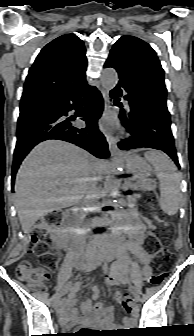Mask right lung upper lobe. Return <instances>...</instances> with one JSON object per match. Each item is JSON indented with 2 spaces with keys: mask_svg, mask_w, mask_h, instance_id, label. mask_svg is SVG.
<instances>
[{
  "mask_svg": "<svg viewBox=\"0 0 194 336\" xmlns=\"http://www.w3.org/2000/svg\"><path fill=\"white\" fill-rule=\"evenodd\" d=\"M85 52L82 40L74 34L47 44L28 72L20 109L58 97L85 80Z\"/></svg>",
  "mask_w": 194,
  "mask_h": 336,
  "instance_id": "right-lung-upper-lobe-1",
  "label": "right lung upper lobe"
}]
</instances>
